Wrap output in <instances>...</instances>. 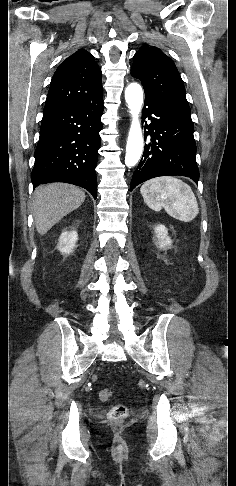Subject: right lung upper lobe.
Wrapping results in <instances>:
<instances>
[{"mask_svg": "<svg viewBox=\"0 0 236 486\" xmlns=\"http://www.w3.org/2000/svg\"><path fill=\"white\" fill-rule=\"evenodd\" d=\"M102 95L101 70L89 52L79 49L64 60L55 71L44 112L94 101Z\"/></svg>", "mask_w": 236, "mask_h": 486, "instance_id": "right-lung-upper-lobe-1", "label": "right lung upper lobe"}]
</instances>
